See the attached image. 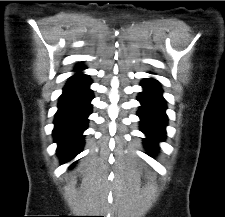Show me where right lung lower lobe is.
<instances>
[{"mask_svg": "<svg viewBox=\"0 0 225 217\" xmlns=\"http://www.w3.org/2000/svg\"><path fill=\"white\" fill-rule=\"evenodd\" d=\"M90 84L88 77L70 79L59 99L53 136L62 163L79 154L84 145L82 133L87 128L93 98Z\"/></svg>", "mask_w": 225, "mask_h": 217, "instance_id": "obj_1", "label": "right lung lower lobe"}]
</instances>
